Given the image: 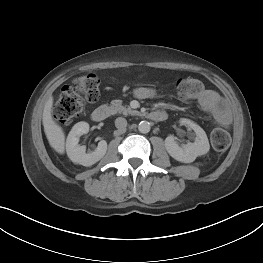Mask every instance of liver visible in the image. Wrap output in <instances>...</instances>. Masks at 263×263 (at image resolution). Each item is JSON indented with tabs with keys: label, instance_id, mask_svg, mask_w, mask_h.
<instances>
[{
	"label": "liver",
	"instance_id": "obj_1",
	"mask_svg": "<svg viewBox=\"0 0 263 263\" xmlns=\"http://www.w3.org/2000/svg\"><path fill=\"white\" fill-rule=\"evenodd\" d=\"M53 106V97L50 96L46 101L43 110V126L50 146L59 154L65 151V135L62 128L57 125L52 118L51 111Z\"/></svg>",
	"mask_w": 263,
	"mask_h": 263
}]
</instances>
